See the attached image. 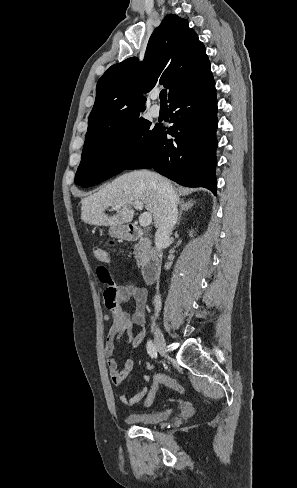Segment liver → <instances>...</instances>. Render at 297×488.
I'll use <instances>...</instances> for the list:
<instances>
[{
    "instance_id": "liver-1",
    "label": "liver",
    "mask_w": 297,
    "mask_h": 488,
    "mask_svg": "<svg viewBox=\"0 0 297 488\" xmlns=\"http://www.w3.org/2000/svg\"><path fill=\"white\" fill-rule=\"evenodd\" d=\"M159 182L169 184L177 201L179 198L171 182L155 172L135 170L127 172L101 190L81 200V220L87 224L110 227L122 226L134 217L133 202L140 201L152 214L155 226H159L162 216V197ZM121 205L113 216L105 214L110 206Z\"/></svg>"
}]
</instances>
